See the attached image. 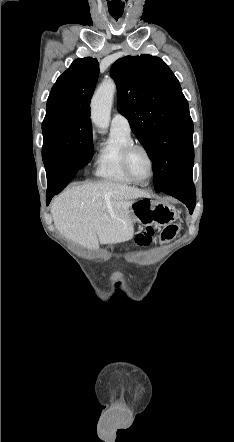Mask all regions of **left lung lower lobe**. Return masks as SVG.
I'll use <instances>...</instances> for the list:
<instances>
[{"label": "left lung lower lobe", "instance_id": "0a47b994", "mask_svg": "<svg viewBox=\"0 0 234 442\" xmlns=\"http://www.w3.org/2000/svg\"><path fill=\"white\" fill-rule=\"evenodd\" d=\"M193 162L191 161L176 179L161 189L162 192L185 203L190 214H192L196 203L195 187L192 179Z\"/></svg>", "mask_w": 234, "mask_h": 442}]
</instances>
